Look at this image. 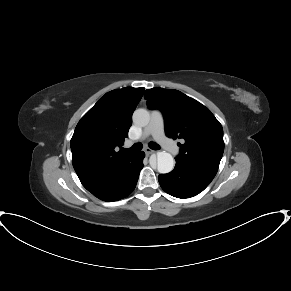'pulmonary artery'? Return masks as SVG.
I'll list each match as a JSON object with an SVG mask.
<instances>
[{"instance_id":"e3ab8cb5","label":"pulmonary artery","mask_w":291,"mask_h":291,"mask_svg":"<svg viewBox=\"0 0 291 291\" xmlns=\"http://www.w3.org/2000/svg\"><path fill=\"white\" fill-rule=\"evenodd\" d=\"M148 137H152L160 145L167 148L172 153L177 152L175 143L165 135V120L162 112L158 109L151 111L149 124L144 128L140 136L131 141L130 144L140 143Z\"/></svg>"}]
</instances>
